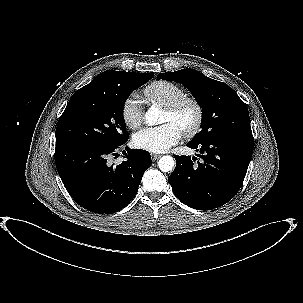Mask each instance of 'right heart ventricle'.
Wrapping results in <instances>:
<instances>
[{
	"instance_id": "1",
	"label": "right heart ventricle",
	"mask_w": 303,
	"mask_h": 303,
	"mask_svg": "<svg viewBox=\"0 0 303 303\" xmlns=\"http://www.w3.org/2000/svg\"><path fill=\"white\" fill-rule=\"evenodd\" d=\"M144 94L152 104L166 107L186 96L185 90L170 81H155L144 89Z\"/></svg>"
}]
</instances>
